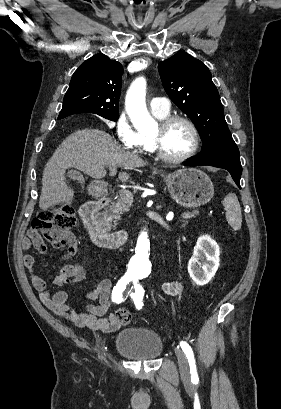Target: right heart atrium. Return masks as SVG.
I'll return each instance as SVG.
<instances>
[{"label": "right heart atrium", "instance_id": "d8ad5b80", "mask_svg": "<svg viewBox=\"0 0 281 409\" xmlns=\"http://www.w3.org/2000/svg\"><path fill=\"white\" fill-rule=\"evenodd\" d=\"M115 129L119 142L125 149H133L138 145V134L131 126L129 118L125 119L122 115H119L116 119Z\"/></svg>", "mask_w": 281, "mask_h": 409}]
</instances>
